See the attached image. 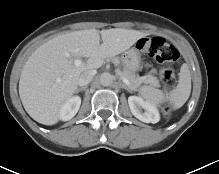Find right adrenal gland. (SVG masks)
<instances>
[{"label": "right adrenal gland", "instance_id": "right-adrenal-gland-1", "mask_svg": "<svg viewBox=\"0 0 219 174\" xmlns=\"http://www.w3.org/2000/svg\"><path fill=\"white\" fill-rule=\"evenodd\" d=\"M86 88H87V86L77 88L76 93H79L80 91H85Z\"/></svg>", "mask_w": 219, "mask_h": 174}]
</instances>
